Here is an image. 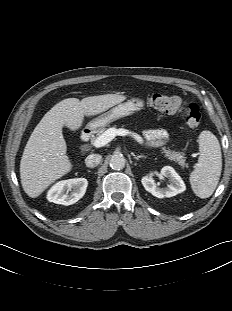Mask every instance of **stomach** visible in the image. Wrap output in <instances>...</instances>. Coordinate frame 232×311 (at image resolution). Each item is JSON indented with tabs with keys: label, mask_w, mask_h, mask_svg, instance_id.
Here are the masks:
<instances>
[{
	"label": "stomach",
	"mask_w": 232,
	"mask_h": 311,
	"mask_svg": "<svg viewBox=\"0 0 232 311\" xmlns=\"http://www.w3.org/2000/svg\"><path fill=\"white\" fill-rule=\"evenodd\" d=\"M144 106L143 100L139 98H132L124 103H120L117 106L111 108L109 111L99 115L98 117L92 119L86 126L92 132H98L100 129L106 127L111 122L129 116L139 110Z\"/></svg>",
	"instance_id": "0dacf381"
}]
</instances>
